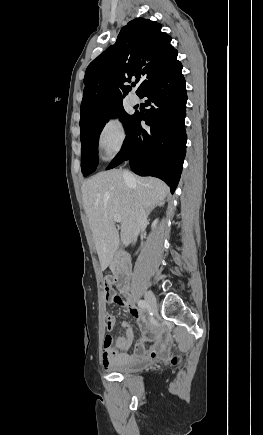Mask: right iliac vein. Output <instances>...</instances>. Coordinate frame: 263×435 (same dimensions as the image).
Listing matches in <instances>:
<instances>
[{
    "instance_id": "63e3f726",
    "label": "right iliac vein",
    "mask_w": 263,
    "mask_h": 435,
    "mask_svg": "<svg viewBox=\"0 0 263 435\" xmlns=\"http://www.w3.org/2000/svg\"><path fill=\"white\" fill-rule=\"evenodd\" d=\"M145 301L148 305V307L152 310V311H156L157 310V303H156V299L155 296L153 295V293L151 292H146L144 295Z\"/></svg>"
}]
</instances>
